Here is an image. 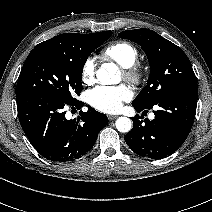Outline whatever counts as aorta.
I'll return each mask as SVG.
<instances>
[{"instance_id": "aorta-1", "label": "aorta", "mask_w": 212, "mask_h": 212, "mask_svg": "<svg viewBox=\"0 0 212 212\" xmlns=\"http://www.w3.org/2000/svg\"><path fill=\"white\" fill-rule=\"evenodd\" d=\"M116 73V67L111 64H103L102 67L97 71V78L103 84L113 83V77ZM116 129L119 132L126 133L132 128V121L127 117H119L116 122Z\"/></svg>"}]
</instances>
